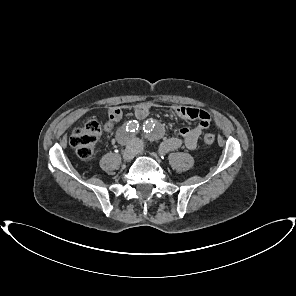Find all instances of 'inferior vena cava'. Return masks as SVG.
I'll list each match as a JSON object with an SVG mask.
<instances>
[{
    "mask_svg": "<svg viewBox=\"0 0 296 296\" xmlns=\"http://www.w3.org/2000/svg\"><path fill=\"white\" fill-rule=\"evenodd\" d=\"M132 143H133V144H140V143H141V140L138 139V138H134V139L132 140Z\"/></svg>",
    "mask_w": 296,
    "mask_h": 296,
    "instance_id": "602c4592",
    "label": "inferior vena cava"
}]
</instances>
